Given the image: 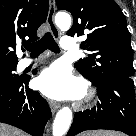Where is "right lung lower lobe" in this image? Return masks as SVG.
I'll list each match as a JSON object with an SVG mask.
<instances>
[{
    "instance_id": "right-lung-lower-lobe-1",
    "label": "right lung lower lobe",
    "mask_w": 136,
    "mask_h": 136,
    "mask_svg": "<svg viewBox=\"0 0 136 136\" xmlns=\"http://www.w3.org/2000/svg\"><path fill=\"white\" fill-rule=\"evenodd\" d=\"M30 76L0 84V122L18 127L32 136H42L51 117L46 100L28 88Z\"/></svg>"
}]
</instances>
